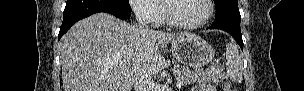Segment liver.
<instances>
[{
    "label": "liver",
    "instance_id": "liver-1",
    "mask_svg": "<svg viewBox=\"0 0 304 91\" xmlns=\"http://www.w3.org/2000/svg\"><path fill=\"white\" fill-rule=\"evenodd\" d=\"M195 36L149 30L108 13L80 20L61 38L64 91H131L140 72L157 74L168 63L161 54L170 42Z\"/></svg>",
    "mask_w": 304,
    "mask_h": 91
}]
</instances>
